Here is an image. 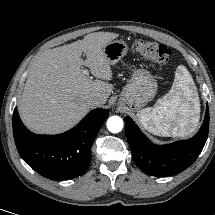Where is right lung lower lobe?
Wrapping results in <instances>:
<instances>
[{
    "mask_svg": "<svg viewBox=\"0 0 215 215\" xmlns=\"http://www.w3.org/2000/svg\"><path fill=\"white\" fill-rule=\"evenodd\" d=\"M107 109H95L71 130L59 135H37L13 113V134L22 159L36 172L52 180L83 174L91 160L93 141L108 117Z\"/></svg>",
    "mask_w": 215,
    "mask_h": 215,
    "instance_id": "right-lung-lower-lobe-1",
    "label": "right lung lower lobe"
}]
</instances>
